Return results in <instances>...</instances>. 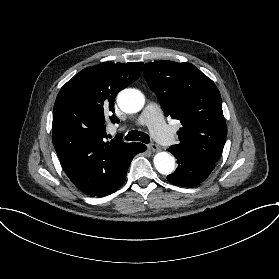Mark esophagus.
Masks as SVG:
<instances>
[{
  "instance_id": "esophagus-1",
  "label": "esophagus",
  "mask_w": 279,
  "mask_h": 279,
  "mask_svg": "<svg viewBox=\"0 0 279 279\" xmlns=\"http://www.w3.org/2000/svg\"><path fill=\"white\" fill-rule=\"evenodd\" d=\"M148 148L150 150H152L153 152H159L160 151V148L158 145H156L155 143H151L148 145Z\"/></svg>"
}]
</instances>
